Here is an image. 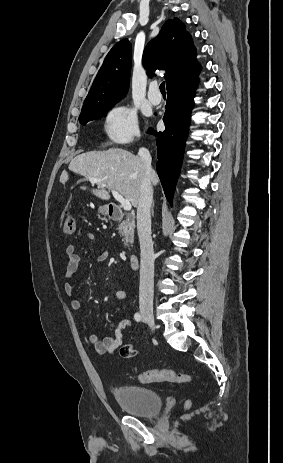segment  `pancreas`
<instances>
[{"label":"pancreas","mask_w":283,"mask_h":463,"mask_svg":"<svg viewBox=\"0 0 283 463\" xmlns=\"http://www.w3.org/2000/svg\"><path fill=\"white\" fill-rule=\"evenodd\" d=\"M118 231L121 237H123L122 241L125 245L129 243H133L134 241V229H135V221L134 219H127L122 221L118 226Z\"/></svg>","instance_id":"1"}]
</instances>
